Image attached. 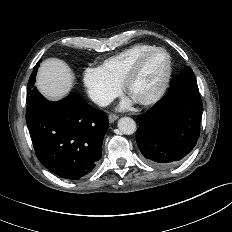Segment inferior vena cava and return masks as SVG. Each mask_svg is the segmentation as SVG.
Returning <instances> with one entry per match:
<instances>
[{"instance_id":"602c4592","label":"inferior vena cava","mask_w":232,"mask_h":232,"mask_svg":"<svg viewBox=\"0 0 232 232\" xmlns=\"http://www.w3.org/2000/svg\"><path fill=\"white\" fill-rule=\"evenodd\" d=\"M94 102L102 107H105L112 102V98L106 95H98L94 98Z\"/></svg>"}]
</instances>
